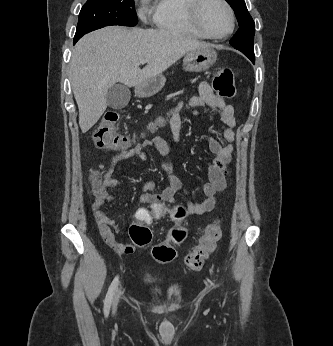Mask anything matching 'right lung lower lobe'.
Wrapping results in <instances>:
<instances>
[{
  "instance_id": "1",
  "label": "right lung lower lobe",
  "mask_w": 333,
  "mask_h": 346,
  "mask_svg": "<svg viewBox=\"0 0 333 346\" xmlns=\"http://www.w3.org/2000/svg\"><path fill=\"white\" fill-rule=\"evenodd\" d=\"M78 40H74V44L77 42Z\"/></svg>"
}]
</instances>
